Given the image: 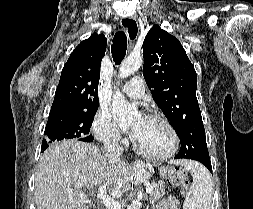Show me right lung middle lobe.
<instances>
[{
	"label": "right lung middle lobe",
	"instance_id": "right-lung-middle-lobe-1",
	"mask_svg": "<svg viewBox=\"0 0 253 209\" xmlns=\"http://www.w3.org/2000/svg\"><path fill=\"white\" fill-rule=\"evenodd\" d=\"M98 106L84 111L61 113L48 118L45 127V139L41 150L44 151L49 144L63 139H77L87 142L93 136L89 135L92 120Z\"/></svg>",
	"mask_w": 253,
	"mask_h": 209
}]
</instances>
